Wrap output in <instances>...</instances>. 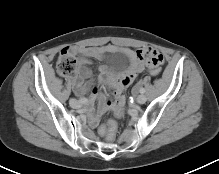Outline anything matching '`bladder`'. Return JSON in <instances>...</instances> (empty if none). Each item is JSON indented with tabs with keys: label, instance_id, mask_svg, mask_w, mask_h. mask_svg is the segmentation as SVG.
Instances as JSON below:
<instances>
[{
	"label": "bladder",
	"instance_id": "bladder-1",
	"mask_svg": "<svg viewBox=\"0 0 219 174\" xmlns=\"http://www.w3.org/2000/svg\"><path fill=\"white\" fill-rule=\"evenodd\" d=\"M126 56L120 53H115L110 59V70L112 72H118L121 68L124 67Z\"/></svg>",
	"mask_w": 219,
	"mask_h": 174
}]
</instances>
